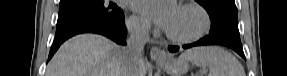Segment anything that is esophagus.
<instances>
[{"instance_id": "esophagus-1", "label": "esophagus", "mask_w": 287, "mask_h": 76, "mask_svg": "<svg viewBox=\"0 0 287 76\" xmlns=\"http://www.w3.org/2000/svg\"><path fill=\"white\" fill-rule=\"evenodd\" d=\"M150 56L153 60L157 62L165 61L168 58V54L158 47H152L150 51Z\"/></svg>"}]
</instances>
